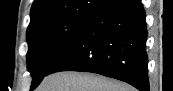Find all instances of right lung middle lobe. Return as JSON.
Masks as SVG:
<instances>
[{"instance_id": "obj_1", "label": "right lung middle lobe", "mask_w": 173, "mask_h": 91, "mask_svg": "<svg viewBox=\"0 0 173 91\" xmlns=\"http://www.w3.org/2000/svg\"><path fill=\"white\" fill-rule=\"evenodd\" d=\"M92 15L72 16L44 21L28 27L27 64L37 87L50 65L73 40Z\"/></svg>"}]
</instances>
